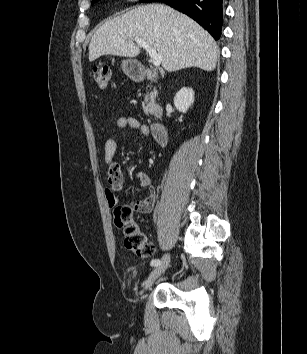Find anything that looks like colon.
I'll return each mask as SVG.
<instances>
[{"instance_id":"colon-1","label":"colon","mask_w":307,"mask_h":354,"mask_svg":"<svg viewBox=\"0 0 307 354\" xmlns=\"http://www.w3.org/2000/svg\"><path fill=\"white\" fill-rule=\"evenodd\" d=\"M93 77L97 86L105 88L110 78V69L107 66L93 68ZM115 225L122 229L125 235V246L139 257L148 258L154 254V245L147 236L140 231L133 217V208L129 205H119L114 209Z\"/></svg>"}]
</instances>
